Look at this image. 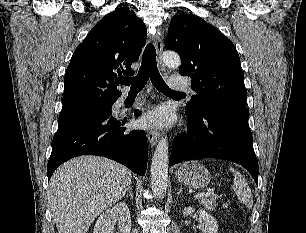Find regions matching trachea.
<instances>
[{
  "label": "trachea",
  "instance_id": "3493384b",
  "mask_svg": "<svg viewBox=\"0 0 306 233\" xmlns=\"http://www.w3.org/2000/svg\"><path fill=\"white\" fill-rule=\"evenodd\" d=\"M149 78L154 87L164 94H183L181 92L171 90L164 82L157 69L156 50L152 43H149L143 52L142 63L138 74L135 77L121 78L119 81L125 85H131L130 92H139L144 88Z\"/></svg>",
  "mask_w": 306,
  "mask_h": 233
}]
</instances>
